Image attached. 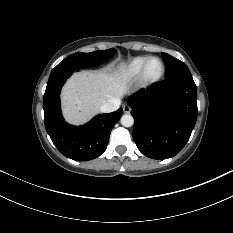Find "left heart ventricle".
Wrapping results in <instances>:
<instances>
[{
    "label": "left heart ventricle",
    "mask_w": 233,
    "mask_h": 233,
    "mask_svg": "<svg viewBox=\"0 0 233 233\" xmlns=\"http://www.w3.org/2000/svg\"><path fill=\"white\" fill-rule=\"evenodd\" d=\"M161 72V63L158 60H152L147 67V76L154 78Z\"/></svg>",
    "instance_id": "b2bd125f"
}]
</instances>
